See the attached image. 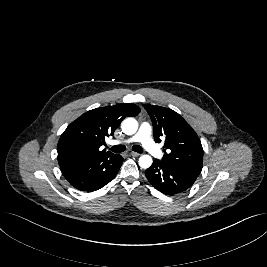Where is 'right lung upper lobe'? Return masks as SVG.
<instances>
[{"instance_id":"1","label":"right lung upper lobe","mask_w":267,"mask_h":267,"mask_svg":"<svg viewBox=\"0 0 267 267\" xmlns=\"http://www.w3.org/2000/svg\"><path fill=\"white\" fill-rule=\"evenodd\" d=\"M139 112L137 105L127 103L84 113L66 128L59 139V165L113 154L99 149L105 137L113 135L124 118L136 116Z\"/></svg>"}]
</instances>
